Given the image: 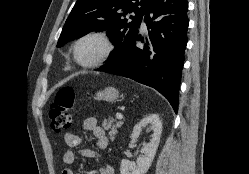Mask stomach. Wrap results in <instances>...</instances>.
Masks as SVG:
<instances>
[{
	"instance_id": "0dacf381",
	"label": "stomach",
	"mask_w": 249,
	"mask_h": 174,
	"mask_svg": "<svg viewBox=\"0 0 249 174\" xmlns=\"http://www.w3.org/2000/svg\"><path fill=\"white\" fill-rule=\"evenodd\" d=\"M119 97V92L114 87H107L96 94V98L108 102H113Z\"/></svg>"
}]
</instances>
